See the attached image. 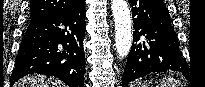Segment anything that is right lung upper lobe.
I'll return each mask as SVG.
<instances>
[{
  "mask_svg": "<svg viewBox=\"0 0 205 87\" xmlns=\"http://www.w3.org/2000/svg\"><path fill=\"white\" fill-rule=\"evenodd\" d=\"M84 0H30V20L62 13Z\"/></svg>",
  "mask_w": 205,
  "mask_h": 87,
  "instance_id": "cb5924a9",
  "label": "right lung upper lobe"
}]
</instances>
